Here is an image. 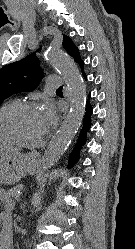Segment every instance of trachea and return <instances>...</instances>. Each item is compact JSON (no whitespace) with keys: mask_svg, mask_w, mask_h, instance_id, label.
I'll return each mask as SVG.
<instances>
[{"mask_svg":"<svg viewBox=\"0 0 135 249\" xmlns=\"http://www.w3.org/2000/svg\"><path fill=\"white\" fill-rule=\"evenodd\" d=\"M57 91H62V87H59V88L57 89Z\"/></svg>","mask_w":135,"mask_h":249,"instance_id":"obj_1","label":"trachea"}]
</instances>
